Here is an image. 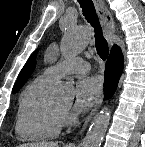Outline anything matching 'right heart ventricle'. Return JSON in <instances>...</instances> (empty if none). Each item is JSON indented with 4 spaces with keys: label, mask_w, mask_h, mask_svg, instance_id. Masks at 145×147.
<instances>
[{
    "label": "right heart ventricle",
    "mask_w": 145,
    "mask_h": 147,
    "mask_svg": "<svg viewBox=\"0 0 145 147\" xmlns=\"http://www.w3.org/2000/svg\"><path fill=\"white\" fill-rule=\"evenodd\" d=\"M54 80L44 74L24 90L17 111L15 130L27 140H48L61 129V110L48 97Z\"/></svg>",
    "instance_id": "1"
}]
</instances>
